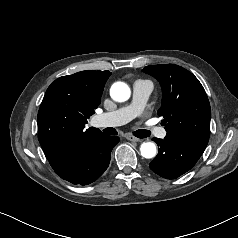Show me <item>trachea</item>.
Here are the masks:
<instances>
[{
  "label": "trachea",
  "mask_w": 238,
  "mask_h": 238,
  "mask_svg": "<svg viewBox=\"0 0 238 238\" xmlns=\"http://www.w3.org/2000/svg\"><path fill=\"white\" fill-rule=\"evenodd\" d=\"M110 135H115V132L109 133ZM134 135L138 138H146L150 136V132L148 130L140 129L134 132Z\"/></svg>",
  "instance_id": "1"
}]
</instances>
